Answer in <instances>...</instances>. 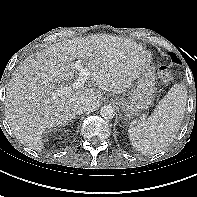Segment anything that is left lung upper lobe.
I'll list each match as a JSON object with an SVG mask.
<instances>
[{"label": "left lung upper lobe", "instance_id": "left-lung-upper-lobe-1", "mask_svg": "<svg viewBox=\"0 0 197 197\" xmlns=\"http://www.w3.org/2000/svg\"><path fill=\"white\" fill-rule=\"evenodd\" d=\"M170 56H171L173 62H178V63H180V60L176 57L175 54L170 53Z\"/></svg>", "mask_w": 197, "mask_h": 197}]
</instances>
